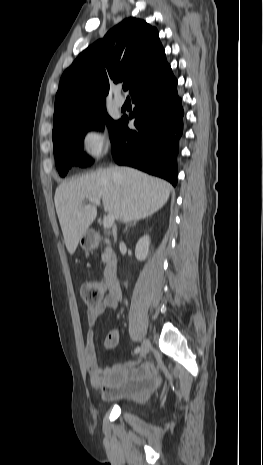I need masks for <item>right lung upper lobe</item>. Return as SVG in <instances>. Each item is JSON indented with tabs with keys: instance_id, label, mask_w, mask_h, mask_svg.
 I'll use <instances>...</instances> for the list:
<instances>
[{
	"instance_id": "cb5924a9",
	"label": "right lung upper lobe",
	"mask_w": 263,
	"mask_h": 465,
	"mask_svg": "<svg viewBox=\"0 0 263 465\" xmlns=\"http://www.w3.org/2000/svg\"><path fill=\"white\" fill-rule=\"evenodd\" d=\"M168 66L157 29L141 19L123 20L65 70L53 124L73 111L105 104L110 82L128 83L132 93Z\"/></svg>"
}]
</instances>
